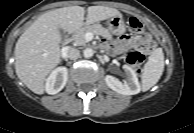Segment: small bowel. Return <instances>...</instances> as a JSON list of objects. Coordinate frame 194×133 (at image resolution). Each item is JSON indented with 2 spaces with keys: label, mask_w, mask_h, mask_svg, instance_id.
I'll list each match as a JSON object with an SVG mask.
<instances>
[{
  "label": "small bowel",
  "mask_w": 194,
  "mask_h": 133,
  "mask_svg": "<svg viewBox=\"0 0 194 133\" xmlns=\"http://www.w3.org/2000/svg\"><path fill=\"white\" fill-rule=\"evenodd\" d=\"M113 47L119 52H127L131 49L140 48L143 54H150L157 47V42L151 40L148 34L141 36H122L114 42Z\"/></svg>",
  "instance_id": "small-bowel-1"
}]
</instances>
